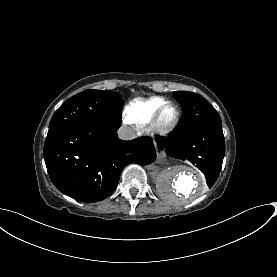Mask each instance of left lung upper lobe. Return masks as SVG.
Here are the masks:
<instances>
[{
    "label": "left lung upper lobe",
    "instance_id": "1",
    "mask_svg": "<svg viewBox=\"0 0 277 277\" xmlns=\"http://www.w3.org/2000/svg\"><path fill=\"white\" fill-rule=\"evenodd\" d=\"M173 96L183 110V118L177 130L222 123L218 113L200 95L188 91H176Z\"/></svg>",
    "mask_w": 277,
    "mask_h": 277
}]
</instances>
